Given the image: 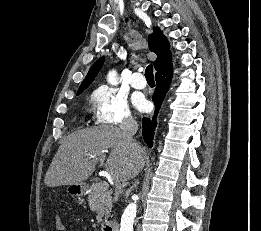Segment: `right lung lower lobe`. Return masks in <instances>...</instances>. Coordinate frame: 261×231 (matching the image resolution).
I'll list each match as a JSON object with an SVG mask.
<instances>
[{
	"mask_svg": "<svg viewBox=\"0 0 261 231\" xmlns=\"http://www.w3.org/2000/svg\"><path fill=\"white\" fill-rule=\"evenodd\" d=\"M172 75H173V69L172 66H170L156 73L155 76V79L157 81V86L152 97L153 102L155 104L154 116L152 118H143L142 120L143 138L149 147H152L153 145L152 139L154 136V129L157 125L156 122L157 113L170 87Z\"/></svg>",
	"mask_w": 261,
	"mask_h": 231,
	"instance_id": "1",
	"label": "right lung lower lobe"
}]
</instances>
